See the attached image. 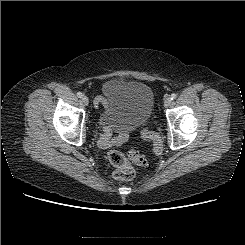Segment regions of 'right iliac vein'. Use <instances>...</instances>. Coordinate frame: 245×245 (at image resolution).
Segmentation results:
<instances>
[{
	"label": "right iliac vein",
	"instance_id": "right-iliac-vein-1",
	"mask_svg": "<svg viewBox=\"0 0 245 245\" xmlns=\"http://www.w3.org/2000/svg\"><path fill=\"white\" fill-rule=\"evenodd\" d=\"M82 101L85 105L89 104V98L87 96H82Z\"/></svg>",
	"mask_w": 245,
	"mask_h": 245
}]
</instances>
